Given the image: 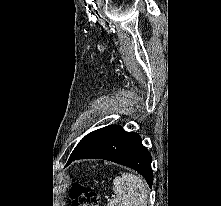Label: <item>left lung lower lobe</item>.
I'll use <instances>...</instances> for the list:
<instances>
[{
    "label": "left lung lower lobe",
    "instance_id": "obj_1",
    "mask_svg": "<svg viewBox=\"0 0 221 206\" xmlns=\"http://www.w3.org/2000/svg\"><path fill=\"white\" fill-rule=\"evenodd\" d=\"M88 158L105 159L133 168L141 173L152 187L151 155L142 145L137 133L126 132L116 125L108 126L86 148L70 157L67 165L74 160Z\"/></svg>",
    "mask_w": 221,
    "mask_h": 206
}]
</instances>
